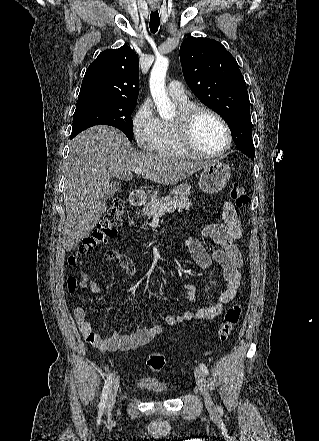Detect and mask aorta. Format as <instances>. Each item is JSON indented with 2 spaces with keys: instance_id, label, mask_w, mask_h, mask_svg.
I'll list each match as a JSON object with an SVG mask.
<instances>
[{
  "instance_id": "aorta-1",
  "label": "aorta",
  "mask_w": 319,
  "mask_h": 441,
  "mask_svg": "<svg viewBox=\"0 0 319 441\" xmlns=\"http://www.w3.org/2000/svg\"><path fill=\"white\" fill-rule=\"evenodd\" d=\"M168 66V58L161 56L156 59L150 74V92L163 119H170L175 114V106L168 98L165 89Z\"/></svg>"
}]
</instances>
